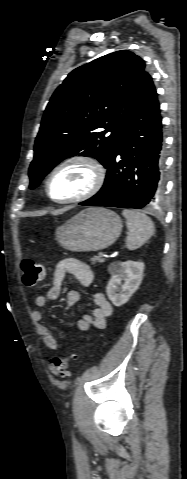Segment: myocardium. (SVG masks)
<instances>
[{
	"mask_svg": "<svg viewBox=\"0 0 187 479\" xmlns=\"http://www.w3.org/2000/svg\"><path fill=\"white\" fill-rule=\"evenodd\" d=\"M72 164H83L90 169L92 173V179H91L90 185L82 193L74 197H71L68 199H62V200L53 198L49 192V186L52 179L55 177L57 173H59L65 167ZM105 176L106 174H105V169L103 165L95 157L91 155H87V154H76V155H72L70 157L65 158L51 170L48 177L46 178V181L44 184V191L47 198L54 203H57V204L78 203V202L85 201L93 197L94 195H96L104 185Z\"/></svg>",
	"mask_w": 187,
	"mask_h": 479,
	"instance_id": "myocardium-1",
	"label": "myocardium"
}]
</instances>
